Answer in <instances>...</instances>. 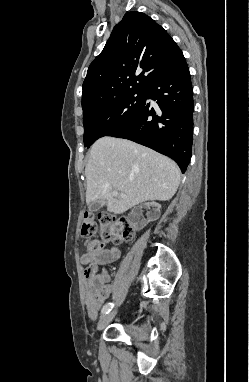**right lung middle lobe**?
Instances as JSON below:
<instances>
[{
    "label": "right lung middle lobe",
    "instance_id": "right-lung-middle-lobe-1",
    "mask_svg": "<svg viewBox=\"0 0 249 382\" xmlns=\"http://www.w3.org/2000/svg\"><path fill=\"white\" fill-rule=\"evenodd\" d=\"M144 98V90H132L118 98L83 108L85 147L89 148L97 139L127 123L139 111Z\"/></svg>",
    "mask_w": 249,
    "mask_h": 382
}]
</instances>
